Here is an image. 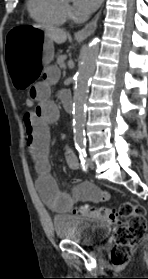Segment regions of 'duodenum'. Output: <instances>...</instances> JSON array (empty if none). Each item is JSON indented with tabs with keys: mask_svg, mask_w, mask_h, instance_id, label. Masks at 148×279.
<instances>
[{
	"mask_svg": "<svg viewBox=\"0 0 148 279\" xmlns=\"http://www.w3.org/2000/svg\"><path fill=\"white\" fill-rule=\"evenodd\" d=\"M61 100L65 110L71 113L73 110V103L71 98L69 96H66V97H61Z\"/></svg>",
	"mask_w": 148,
	"mask_h": 279,
	"instance_id": "410a0bca",
	"label": "duodenum"
}]
</instances>
